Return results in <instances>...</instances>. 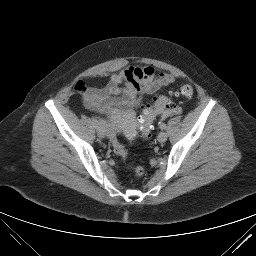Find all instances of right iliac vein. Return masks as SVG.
<instances>
[{
    "mask_svg": "<svg viewBox=\"0 0 256 256\" xmlns=\"http://www.w3.org/2000/svg\"><path fill=\"white\" fill-rule=\"evenodd\" d=\"M97 133H98V136L100 138H104L105 137V130L102 127L97 129Z\"/></svg>",
    "mask_w": 256,
    "mask_h": 256,
    "instance_id": "63e3f726",
    "label": "right iliac vein"
}]
</instances>
